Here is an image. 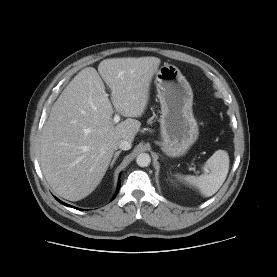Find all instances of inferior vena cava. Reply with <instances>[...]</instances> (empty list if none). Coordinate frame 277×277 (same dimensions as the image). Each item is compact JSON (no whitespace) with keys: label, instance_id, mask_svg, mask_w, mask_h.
Returning a JSON list of instances; mask_svg holds the SVG:
<instances>
[{"label":"inferior vena cava","instance_id":"602c4592","mask_svg":"<svg viewBox=\"0 0 277 277\" xmlns=\"http://www.w3.org/2000/svg\"><path fill=\"white\" fill-rule=\"evenodd\" d=\"M131 145V142L124 139L117 142V148L122 150H129L131 148Z\"/></svg>","mask_w":277,"mask_h":277}]
</instances>
